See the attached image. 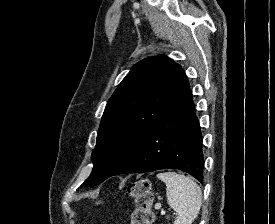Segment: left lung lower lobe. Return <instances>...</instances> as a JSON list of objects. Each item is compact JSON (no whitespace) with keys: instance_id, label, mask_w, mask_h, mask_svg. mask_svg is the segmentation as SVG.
<instances>
[{"instance_id":"0a47b994","label":"left lung lower lobe","mask_w":275,"mask_h":224,"mask_svg":"<svg viewBox=\"0 0 275 224\" xmlns=\"http://www.w3.org/2000/svg\"><path fill=\"white\" fill-rule=\"evenodd\" d=\"M203 166L202 134L189 89L147 138L127 172L175 168L202 183Z\"/></svg>"}]
</instances>
